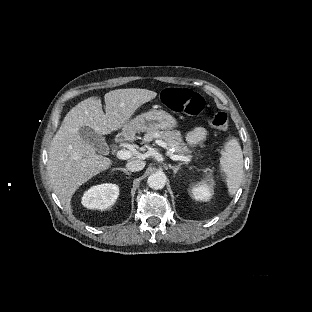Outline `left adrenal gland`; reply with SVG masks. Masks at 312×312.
<instances>
[{"label":"left adrenal gland","mask_w":312,"mask_h":312,"mask_svg":"<svg viewBox=\"0 0 312 312\" xmlns=\"http://www.w3.org/2000/svg\"><path fill=\"white\" fill-rule=\"evenodd\" d=\"M182 163H179L177 166H172L169 164V168L173 170L174 173H177Z\"/></svg>","instance_id":"a2214340"}]
</instances>
